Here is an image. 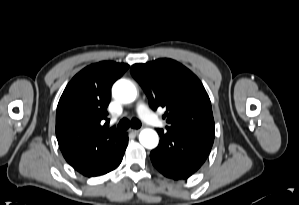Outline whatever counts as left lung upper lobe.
<instances>
[{
	"instance_id": "5c2ea615",
	"label": "left lung upper lobe",
	"mask_w": 299,
	"mask_h": 205,
	"mask_svg": "<svg viewBox=\"0 0 299 205\" xmlns=\"http://www.w3.org/2000/svg\"><path fill=\"white\" fill-rule=\"evenodd\" d=\"M132 76L145 91L153 110L163 107L167 132H186L214 137L211 102L200 80L171 59L134 64Z\"/></svg>"
}]
</instances>
